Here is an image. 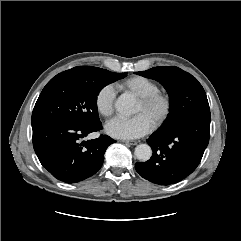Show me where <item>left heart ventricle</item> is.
<instances>
[{"label": "left heart ventricle", "mask_w": 241, "mask_h": 241, "mask_svg": "<svg viewBox=\"0 0 241 241\" xmlns=\"http://www.w3.org/2000/svg\"><path fill=\"white\" fill-rule=\"evenodd\" d=\"M155 111H156V109H153V110L144 109V107L142 106V104L140 102L138 103V107L136 110L137 113H144L151 120V122L153 120Z\"/></svg>", "instance_id": "obj_1"}]
</instances>
